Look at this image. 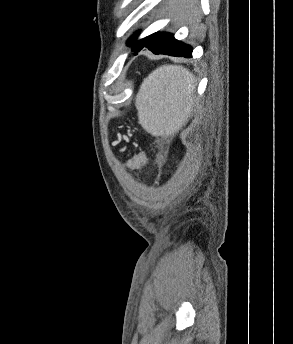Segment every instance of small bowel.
I'll return each instance as SVG.
<instances>
[{"instance_id": "1", "label": "small bowel", "mask_w": 293, "mask_h": 344, "mask_svg": "<svg viewBox=\"0 0 293 344\" xmlns=\"http://www.w3.org/2000/svg\"><path fill=\"white\" fill-rule=\"evenodd\" d=\"M147 164V157L144 153H138L134 156L129 167L132 170H138Z\"/></svg>"}]
</instances>
